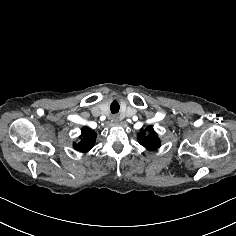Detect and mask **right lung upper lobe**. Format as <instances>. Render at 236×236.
Listing matches in <instances>:
<instances>
[{
    "instance_id": "1",
    "label": "right lung upper lobe",
    "mask_w": 236,
    "mask_h": 236,
    "mask_svg": "<svg viewBox=\"0 0 236 236\" xmlns=\"http://www.w3.org/2000/svg\"><path fill=\"white\" fill-rule=\"evenodd\" d=\"M81 141L74 143V148L80 152H88L95 144L96 133L89 128H83L81 131Z\"/></svg>"
}]
</instances>
